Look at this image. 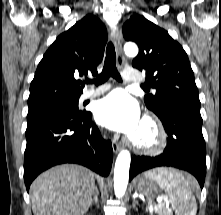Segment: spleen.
<instances>
[{"mask_svg": "<svg viewBox=\"0 0 221 215\" xmlns=\"http://www.w3.org/2000/svg\"><path fill=\"white\" fill-rule=\"evenodd\" d=\"M156 179L168 193L177 215H196L197 203L192 194L196 181L192 176L176 170L163 169ZM149 203H152L151 199H149Z\"/></svg>", "mask_w": 221, "mask_h": 215, "instance_id": "spleen-1", "label": "spleen"}]
</instances>
